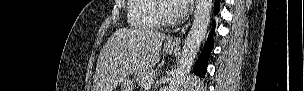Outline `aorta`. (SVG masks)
<instances>
[{
	"label": "aorta",
	"instance_id": "762f6f07",
	"mask_svg": "<svg viewBox=\"0 0 304 91\" xmlns=\"http://www.w3.org/2000/svg\"><path fill=\"white\" fill-rule=\"evenodd\" d=\"M211 9L212 0H196L194 21L185 40L176 74L169 83L168 91H177L183 78L190 71L201 42L205 38L210 21Z\"/></svg>",
	"mask_w": 304,
	"mask_h": 91
}]
</instances>
